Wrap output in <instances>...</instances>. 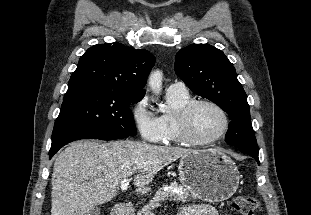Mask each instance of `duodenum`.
Masks as SVG:
<instances>
[{
	"mask_svg": "<svg viewBox=\"0 0 311 215\" xmlns=\"http://www.w3.org/2000/svg\"><path fill=\"white\" fill-rule=\"evenodd\" d=\"M113 215H132V210L125 204H118L113 209Z\"/></svg>",
	"mask_w": 311,
	"mask_h": 215,
	"instance_id": "duodenum-1",
	"label": "duodenum"
}]
</instances>
